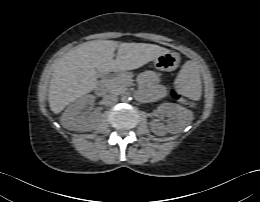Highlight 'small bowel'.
<instances>
[{
	"instance_id": "obj_1",
	"label": "small bowel",
	"mask_w": 260,
	"mask_h": 202,
	"mask_svg": "<svg viewBox=\"0 0 260 202\" xmlns=\"http://www.w3.org/2000/svg\"><path fill=\"white\" fill-rule=\"evenodd\" d=\"M140 82L143 85H149L153 83V86L149 88V95L153 99H157L163 96L164 94V89L162 86L158 85V76L154 72H147L143 74L140 77Z\"/></svg>"
}]
</instances>
